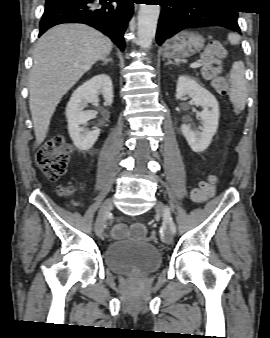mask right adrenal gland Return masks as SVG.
<instances>
[{
  "mask_svg": "<svg viewBox=\"0 0 270 338\" xmlns=\"http://www.w3.org/2000/svg\"><path fill=\"white\" fill-rule=\"evenodd\" d=\"M109 62H112V59H111V58H106V59L103 60L102 65L105 66V65H107Z\"/></svg>",
  "mask_w": 270,
  "mask_h": 338,
  "instance_id": "1",
  "label": "right adrenal gland"
}]
</instances>
